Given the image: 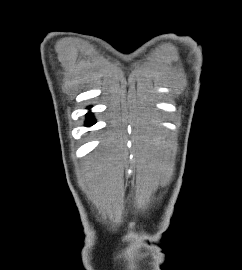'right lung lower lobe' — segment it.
<instances>
[{"instance_id":"right-lung-lower-lobe-1","label":"right lung lower lobe","mask_w":242,"mask_h":270,"mask_svg":"<svg viewBox=\"0 0 242 270\" xmlns=\"http://www.w3.org/2000/svg\"><path fill=\"white\" fill-rule=\"evenodd\" d=\"M95 123V120L93 119L91 114H88V120L86 122V125H92Z\"/></svg>"}]
</instances>
